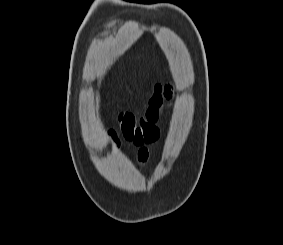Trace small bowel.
Returning a JSON list of instances; mask_svg holds the SVG:
<instances>
[{
    "instance_id": "c3829d8e",
    "label": "small bowel",
    "mask_w": 283,
    "mask_h": 245,
    "mask_svg": "<svg viewBox=\"0 0 283 245\" xmlns=\"http://www.w3.org/2000/svg\"><path fill=\"white\" fill-rule=\"evenodd\" d=\"M172 93H173V89L170 85H165V86L162 87V97H163V99L169 100L172 97ZM108 135H109L111 141L115 145H117L119 140H118V135H117L116 131L110 130L108 132ZM149 156H150L149 149L145 146L140 147L138 149V152H137V161H138L139 166L144 167L148 162Z\"/></svg>"
}]
</instances>
